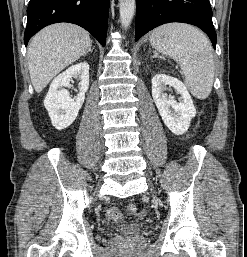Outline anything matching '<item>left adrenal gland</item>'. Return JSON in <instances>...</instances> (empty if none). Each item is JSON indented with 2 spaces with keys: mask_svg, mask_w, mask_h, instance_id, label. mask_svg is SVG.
Returning <instances> with one entry per match:
<instances>
[{
  "mask_svg": "<svg viewBox=\"0 0 247 257\" xmlns=\"http://www.w3.org/2000/svg\"><path fill=\"white\" fill-rule=\"evenodd\" d=\"M156 57L161 58L156 52H154V55L152 56V58H156Z\"/></svg>",
  "mask_w": 247,
  "mask_h": 257,
  "instance_id": "a2214340",
  "label": "left adrenal gland"
}]
</instances>
